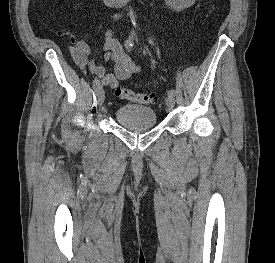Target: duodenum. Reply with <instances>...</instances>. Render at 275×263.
I'll use <instances>...</instances> for the list:
<instances>
[{
    "instance_id": "obj_1",
    "label": "duodenum",
    "mask_w": 275,
    "mask_h": 263,
    "mask_svg": "<svg viewBox=\"0 0 275 263\" xmlns=\"http://www.w3.org/2000/svg\"><path fill=\"white\" fill-rule=\"evenodd\" d=\"M105 5L110 7H122L131 3L133 0H102Z\"/></svg>"
}]
</instances>
